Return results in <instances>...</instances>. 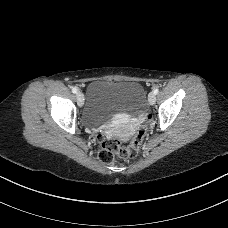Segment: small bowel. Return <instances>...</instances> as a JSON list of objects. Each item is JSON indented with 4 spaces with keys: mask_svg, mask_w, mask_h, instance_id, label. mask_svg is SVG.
Masks as SVG:
<instances>
[{
    "mask_svg": "<svg viewBox=\"0 0 228 228\" xmlns=\"http://www.w3.org/2000/svg\"><path fill=\"white\" fill-rule=\"evenodd\" d=\"M99 136H100V138H102L103 137V134H100Z\"/></svg>",
    "mask_w": 228,
    "mask_h": 228,
    "instance_id": "small-bowel-1",
    "label": "small bowel"
}]
</instances>
